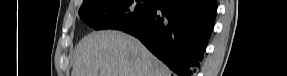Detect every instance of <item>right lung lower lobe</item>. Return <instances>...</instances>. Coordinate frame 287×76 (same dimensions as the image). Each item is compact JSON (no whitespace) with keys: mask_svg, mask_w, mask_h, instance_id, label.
Returning <instances> with one entry per match:
<instances>
[{"mask_svg":"<svg viewBox=\"0 0 287 76\" xmlns=\"http://www.w3.org/2000/svg\"><path fill=\"white\" fill-rule=\"evenodd\" d=\"M216 12V0H155L145 19L122 31L138 38L178 76H195Z\"/></svg>","mask_w":287,"mask_h":76,"instance_id":"98d812e1","label":"right lung lower lobe"}]
</instances>
